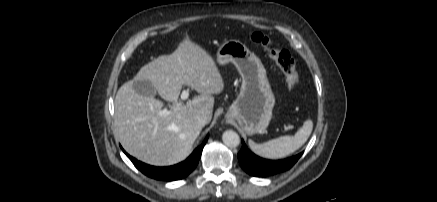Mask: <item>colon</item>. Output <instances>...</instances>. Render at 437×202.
I'll return each mask as SVG.
<instances>
[{"instance_id":"obj_1","label":"colon","mask_w":437,"mask_h":202,"mask_svg":"<svg viewBox=\"0 0 437 202\" xmlns=\"http://www.w3.org/2000/svg\"><path fill=\"white\" fill-rule=\"evenodd\" d=\"M249 37L252 42L260 45L267 52L269 57L284 74L288 89L294 90L298 85L299 77L296 71L294 59L289 51L277 47L269 36L261 32H253Z\"/></svg>"}]
</instances>
